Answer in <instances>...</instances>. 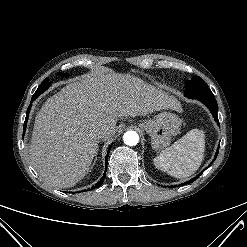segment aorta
Segmentation results:
<instances>
[{"label":"aorta","instance_id":"obj_1","mask_svg":"<svg viewBox=\"0 0 247 247\" xmlns=\"http://www.w3.org/2000/svg\"><path fill=\"white\" fill-rule=\"evenodd\" d=\"M123 141L128 146H135L139 142V135L135 131H127L123 135Z\"/></svg>","mask_w":247,"mask_h":247}]
</instances>
